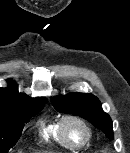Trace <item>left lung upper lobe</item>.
Returning a JSON list of instances; mask_svg holds the SVG:
<instances>
[{"label":"left lung upper lobe","mask_w":130,"mask_h":153,"mask_svg":"<svg viewBox=\"0 0 130 153\" xmlns=\"http://www.w3.org/2000/svg\"><path fill=\"white\" fill-rule=\"evenodd\" d=\"M54 108L67 114H75L91 122L113 139L112 120L103 112L99 99L90 93H69L52 99Z\"/></svg>","instance_id":"left-lung-upper-lobe-1"}]
</instances>
